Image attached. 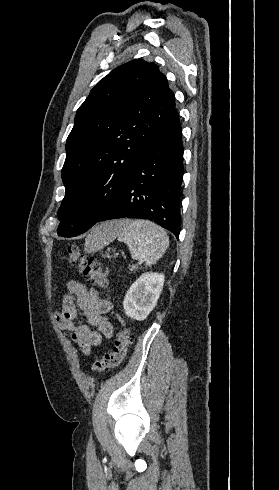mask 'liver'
Wrapping results in <instances>:
<instances>
[{
	"instance_id": "6515ba94",
	"label": "liver",
	"mask_w": 279,
	"mask_h": 490,
	"mask_svg": "<svg viewBox=\"0 0 279 490\" xmlns=\"http://www.w3.org/2000/svg\"><path fill=\"white\" fill-rule=\"evenodd\" d=\"M97 228H102L103 232H111L112 230V222H104L101 226H97Z\"/></svg>"
}]
</instances>
